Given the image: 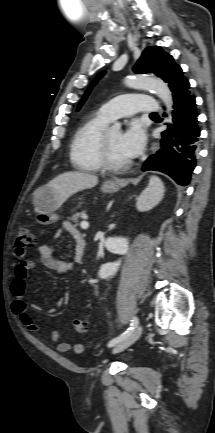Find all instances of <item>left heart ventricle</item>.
I'll return each instance as SVG.
<instances>
[{
    "instance_id": "left-heart-ventricle-1",
    "label": "left heart ventricle",
    "mask_w": 215,
    "mask_h": 433,
    "mask_svg": "<svg viewBox=\"0 0 215 433\" xmlns=\"http://www.w3.org/2000/svg\"><path fill=\"white\" fill-rule=\"evenodd\" d=\"M121 132L112 130L107 132L108 147L111 157L116 162L128 161L129 158L122 152L120 147Z\"/></svg>"
}]
</instances>
